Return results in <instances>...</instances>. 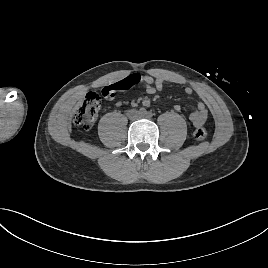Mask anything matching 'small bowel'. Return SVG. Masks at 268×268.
Wrapping results in <instances>:
<instances>
[{"label":"small bowel","mask_w":268,"mask_h":268,"mask_svg":"<svg viewBox=\"0 0 268 268\" xmlns=\"http://www.w3.org/2000/svg\"><path fill=\"white\" fill-rule=\"evenodd\" d=\"M126 78H132L136 80V84H142L144 86V91L148 94H155L163 90L166 87L165 80L160 77H152L149 75H141L139 73H135V74H131L127 76ZM184 92L187 95H192L194 93V90L192 87H186L184 89ZM142 104L144 106H148L150 102L148 99H144L142 101ZM121 105H122V102L120 101L117 102V106H121ZM175 110L180 111V106L176 105ZM207 116H208V111L206 109L205 104L203 102H198L196 109L190 114L189 118L194 127H201L205 124L207 120Z\"/></svg>","instance_id":"1"}]
</instances>
